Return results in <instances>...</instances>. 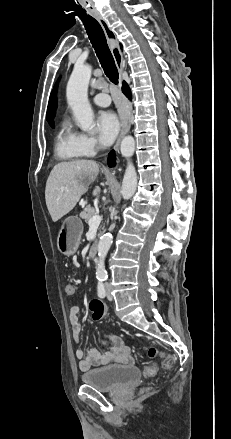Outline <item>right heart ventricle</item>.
I'll return each instance as SVG.
<instances>
[{
    "label": "right heart ventricle",
    "mask_w": 231,
    "mask_h": 439,
    "mask_svg": "<svg viewBox=\"0 0 231 439\" xmlns=\"http://www.w3.org/2000/svg\"><path fill=\"white\" fill-rule=\"evenodd\" d=\"M55 154L61 160H77L83 157L78 143V134L68 122H64L55 141Z\"/></svg>",
    "instance_id": "obj_1"
}]
</instances>
